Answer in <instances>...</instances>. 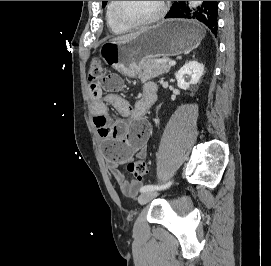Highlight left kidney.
<instances>
[{"instance_id": "left-kidney-1", "label": "left kidney", "mask_w": 271, "mask_h": 266, "mask_svg": "<svg viewBox=\"0 0 271 266\" xmlns=\"http://www.w3.org/2000/svg\"><path fill=\"white\" fill-rule=\"evenodd\" d=\"M204 73V66L196 61H190L185 64L177 73V85L182 89H188L200 81Z\"/></svg>"}]
</instances>
